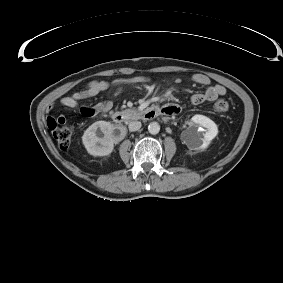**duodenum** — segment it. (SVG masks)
<instances>
[{"label": "duodenum", "mask_w": 283, "mask_h": 283, "mask_svg": "<svg viewBox=\"0 0 283 283\" xmlns=\"http://www.w3.org/2000/svg\"><path fill=\"white\" fill-rule=\"evenodd\" d=\"M163 110L159 107H151L139 112H115L112 115L113 122L123 127L130 120H150L159 116Z\"/></svg>", "instance_id": "1"}]
</instances>
